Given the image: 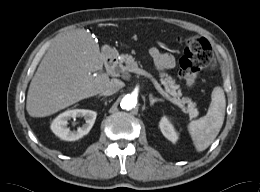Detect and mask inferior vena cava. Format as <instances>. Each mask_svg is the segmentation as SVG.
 I'll list each match as a JSON object with an SVG mask.
<instances>
[{
	"mask_svg": "<svg viewBox=\"0 0 260 192\" xmlns=\"http://www.w3.org/2000/svg\"><path fill=\"white\" fill-rule=\"evenodd\" d=\"M124 86V83L119 79H111L107 88L101 92L103 95H112L119 91Z\"/></svg>",
	"mask_w": 260,
	"mask_h": 192,
	"instance_id": "602c4592",
	"label": "inferior vena cava"
}]
</instances>
